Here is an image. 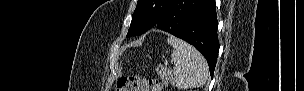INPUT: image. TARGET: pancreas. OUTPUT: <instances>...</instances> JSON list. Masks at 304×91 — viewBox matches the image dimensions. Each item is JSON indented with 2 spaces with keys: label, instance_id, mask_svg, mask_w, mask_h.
Returning <instances> with one entry per match:
<instances>
[{
  "label": "pancreas",
  "instance_id": "obj_1",
  "mask_svg": "<svg viewBox=\"0 0 304 91\" xmlns=\"http://www.w3.org/2000/svg\"><path fill=\"white\" fill-rule=\"evenodd\" d=\"M158 73L160 74L161 78L163 79L164 84H167L168 71L163 66H160L158 68Z\"/></svg>",
  "mask_w": 304,
  "mask_h": 91
}]
</instances>
